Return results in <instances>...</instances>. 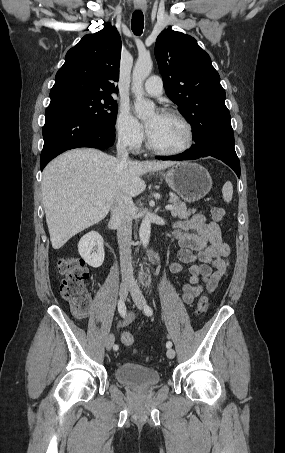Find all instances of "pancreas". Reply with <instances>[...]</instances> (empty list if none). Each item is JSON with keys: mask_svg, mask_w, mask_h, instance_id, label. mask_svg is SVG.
<instances>
[{"mask_svg": "<svg viewBox=\"0 0 285 453\" xmlns=\"http://www.w3.org/2000/svg\"><path fill=\"white\" fill-rule=\"evenodd\" d=\"M170 202L173 204L174 208L171 210V215L174 218L179 219H188L191 214L196 212V209H187L184 203H181L177 196L172 195L170 198Z\"/></svg>", "mask_w": 285, "mask_h": 453, "instance_id": "pancreas-1", "label": "pancreas"}]
</instances>
